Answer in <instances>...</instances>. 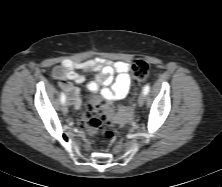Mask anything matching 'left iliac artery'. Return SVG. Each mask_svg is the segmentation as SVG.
Wrapping results in <instances>:
<instances>
[{
    "label": "left iliac artery",
    "instance_id": "obj_1",
    "mask_svg": "<svg viewBox=\"0 0 222 187\" xmlns=\"http://www.w3.org/2000/svg\"><path fill=\"white\" fill-rule=\"evenodd\" d=\"M150 91V85H146L143 89L144 94H148V92Z\"/></svg>",
    "mask_w": 222,
    "mask_h": 187
}]
</instances>
